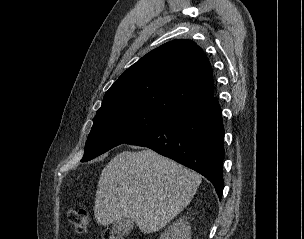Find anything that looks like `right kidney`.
<instances>
[{
    "instance_id": "1",
    "label": "right kidney",
    "mask_w": 304,
    "mask_h": 239,
    "mask_svg": "<svg viewBox=\"0 0 304 239\" xmlns=\"http://www.w3.org/2000/svg\"><path fill=\"white\" fill-rule=\"evenodd\" d=\"M160 239H191V226L185 217L173 222Z\"/></svg>"
}]
</instances>
